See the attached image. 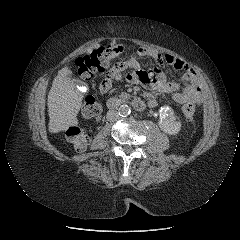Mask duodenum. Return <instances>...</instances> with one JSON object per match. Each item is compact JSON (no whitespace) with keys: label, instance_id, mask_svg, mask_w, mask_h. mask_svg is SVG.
Segmentation results:
<instances>
[{"label":"duodenum","instance_id":"obj_1","mask_svg":"<svg viewBox=\"0 0 240 240\" xmlns=\"http://www.w3.org/2000/svg\"><path fill=\"white\" fill-rule=\"evenodd\" d=\"M124 102H125L124 99L112 98L107 102V107L112 110V109L119 107ZM129 102L135 109H137L139 111L145 110L147 107V104L143 100H141L140 98H137V97L130 98Z\"/></svg>","mask_w":240,"mask_h":240}]
</instances>
